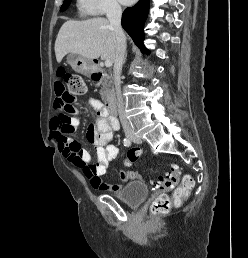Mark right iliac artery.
<instances>
[{
    "label": "right iliac artery",
    "mask_w": 248,
    "mask_h": 258,
    "mask_svg": "<svg viewBox=\"0 0 248 258\" xmlns=\"http://www.w3.org/2000/svg\"><path fill=\"white\" fill-rule=\"evenodd\" d=\"M123 143H124V146H127V147L131 145V141L127 138L124 139Z\"/></svg>",
    "instance_id": "1"
}]
</instances>
